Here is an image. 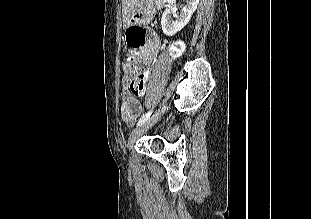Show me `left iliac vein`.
Masks as SVG:
<instances>
[{
	"label": "left iliac vein",
	"instance_id": "left-iliac-vein-1",
	"mask_svg": "<svg viewBox=\"0 0 311 219\" xmlns=\"http://www.w3.org/2000/svg\"><path fill=\"white\" fill-rule=\"evenodd\" d=\"M167 105L164 104L161 109H159L151 118H149L145 123L134 129L128 139L127 147L131 150L138 140V138L144 134L149 128H151L157 121L160 116L165 112Z\"/></svg>",
	"mask_w": 311,
	"mask_h": 219
}]
</instances>
